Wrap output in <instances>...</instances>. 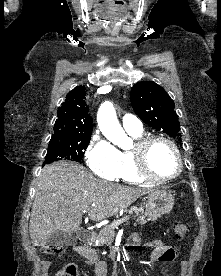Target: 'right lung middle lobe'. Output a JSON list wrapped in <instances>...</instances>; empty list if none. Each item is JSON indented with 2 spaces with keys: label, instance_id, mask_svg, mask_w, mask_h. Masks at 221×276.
Listing matches in <instances>:
<instances>
[{
  "label": "right lung middle lobe",
  "instance_id": "dd1d6c3e",
  "mask_svg": "<svg viewBox=\"0 0 221 276\" xmlns=\"http://www.w3.org/2000/svg\"><path fill=\"white\" fill-rule=\"evenodd\" d=\"M91 136H80L71 139H51L43 165L58 160L79 162L83 158Z\"/></svg>",
  "mask_w": 221,
  "mask_h": 276
}]
</instances>
